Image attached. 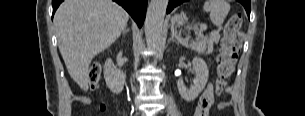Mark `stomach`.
Returning <instances> with one entry per match:
<instances>
[{
  "instance_id": "obj_1",
  "label": "stomach",
  "mask_w": 305,
  "mask_h": 116,
  "mask_svg": "<svg viewBox=\"0 0 305 116\" xmlns=\"http://www.w3.org/2000/svg\"><path fill=\"white\" fill-rule=\"evenodd\" d=\"M186 19V16L184 14L175 15L173 18V22L177 24H183Z\"/></svg>"
}]
</instances>
